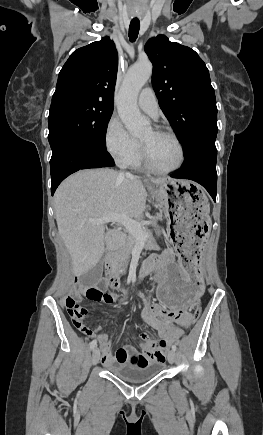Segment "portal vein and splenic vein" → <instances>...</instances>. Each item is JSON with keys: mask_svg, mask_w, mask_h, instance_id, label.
<instances>
[{"mask_svg": "<svg viewBox=\"0 0 263 435\" xmlns=\"http://www.w3.org/2000/svg\"><path fill=\"white\" fill-rule=\"evenodd\" d=\"M89 222L92 224L117 222L124 225L131 234L141 241H145L149 237V234L142 229L138 222L122 214L109 215L101 219H90Z\"/></svg>", "mask_w": 263, "mask_h": 435, "instance_id": "1", "label": "portal vein and splenic vein"}]
</instances>
